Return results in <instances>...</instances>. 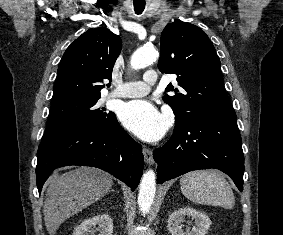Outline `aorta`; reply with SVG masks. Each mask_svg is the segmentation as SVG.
Instances as JSON below:
<instances>
[{"mask_svg": "<svg viewBox=\"0 0 283 235\" xmlns=\"http://www.w3.org/2000/svg\"><path fill=\"white\" fill-rule=\"evenodd\" d=\"M158 57L154 46H144L137 49L131 57V67L134 70L143 69L153 63ZM156 193V175L153 170H147L141 179L138 194L140 211L145 215L149 212Z\"/></svg>", "mask_w": 283, "mask_h": 235, "instance_id": "obj_1", "label": "aorta"}]
</instances>
